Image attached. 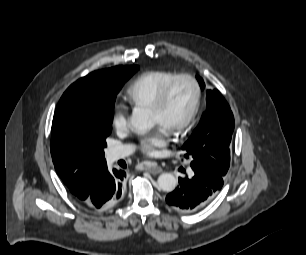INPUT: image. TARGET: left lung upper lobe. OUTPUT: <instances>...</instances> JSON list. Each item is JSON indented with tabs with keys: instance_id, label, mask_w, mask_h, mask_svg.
I'll list each match as a JSON object with an SVG mask.
<instances>
[{
	"instance_id": "left-lung-upper-lobe-1",
	"label": "left lung upper lobe",
	"mask_w": 306,
	"mask_h": 255,
	"mask_svg": "<svg viewBox=\"0 0 306 255\" xmlns=\"http://www.w3.org/2000/svg\"><path fill=\"white\" fill-rule=\"evenodd\" d=\"M197 80L204 90L203 79L197 76ZM206 93L207 110L182 149L185 157L191 160V166H206L224 177L230 165L229 143L234 131V117L216 89Z\"/></svg>"
}]
</instances>
